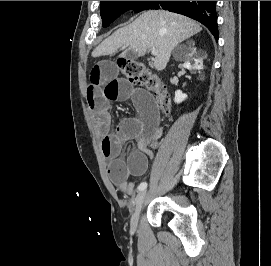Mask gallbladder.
<instances>
[{
    "mask_svg": "<svg viewBox=\"0 0 271 266\" xmlns=\"http://www.w3.org/2000/svg\"><path fill=\"white\" fill-rule=\"evenodd\" d=\"M125 56H126L127 58H134L133 52H127V53L125 54Z\"/></svg>",
    "mask_w": 271,
    "mask_h": 266,
    "instance_id": "gallbladder-1",
    "label": "gallbladder"
}]
</instances>
